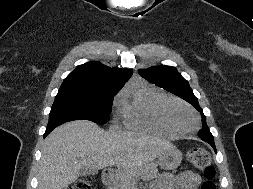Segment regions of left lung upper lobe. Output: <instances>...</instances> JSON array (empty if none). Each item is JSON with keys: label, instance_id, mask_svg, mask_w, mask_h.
<instances>
[{"label": "left lung upper lobe", "instance_id": "obj_1", "mask_svg": "<svg viewBox=\"0 0 253 189\" xmlns=\"http://www.w3.org/2000/svg\"><path fill=\"white\" fill-rule=\"evenodd\" d=\"M139 74L149 82L164 88L193 105L202 115L203 125L199 133L213 137L206 124V117L199 106L198 99L194 96L188 81L185 80L174 67L162 65L147 69H139Z\"/></svg>", "mask_w": 253, "mask_h": 189}]
</instances>
